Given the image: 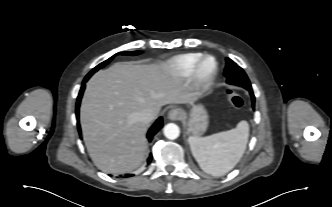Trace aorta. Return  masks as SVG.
Returning <instances> with one entry per match:
<instances>
[{
    "label": "aorta",
    "mask_w": 332,
    "mask_h": 207,
    "mask_svg": "<svg viewBox=\"0 0 332 207\" xmlns=\"http://www.w3.org/2000/svg\"><path fill=\"white\" fill-rule=\"evenodd\" d=\"M164 135L168 139H176L180 135L179 127L174 123L167 124L163 129Z\"/></svg>",
    "instance_id": "obj_1"
}]
</instances>
